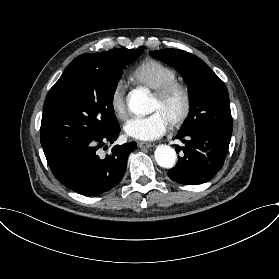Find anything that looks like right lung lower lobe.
Segmentation results:
<instances>
[{
    "label": "right lung lower lobe",
    "instance_id": "98d812e1",
    "mask_svg": "<svg viewBox=\"0 0 279 279\" xmlns=\"http://www.w3.org/2000/svg\"><path fill=\"white\" fill-rule=\"evenodd\" d=\"M119 132L117 124L102 136L66 144L47 155L55 178L67 188L86 196H97L113 188L122 180L128 155L136 148V143L116 145L104 159H100L96 151L107 142L113 143Z\"/></svg>",
    "mask_w": 279,
    "mask_h": 279
}]
</instances>
